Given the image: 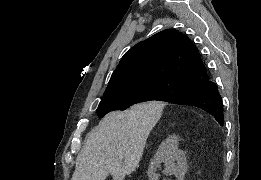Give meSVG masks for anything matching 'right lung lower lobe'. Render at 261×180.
<instances>
[{
	"instance_id": "obj_1",
	"label": "right lung lower lobe",
	"mask_w": 261,
	"mask_h": 180,
	"mask_svg": "<svg viewBox=\"0 0 261 180\" xmlns=\"http://www.w3.org/2000/svg\"><path fill=\"white\" fill-rule=\"evenodd\" d=\"M168 102L196 106L212 115L220 125L224 123L222 97L209 77L200 83L198 90L174 97Z\"/></svg>"
}]
</instances>
